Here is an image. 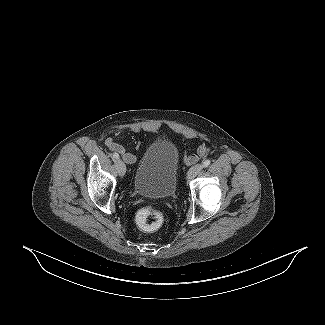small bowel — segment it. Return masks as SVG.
I'll use <instances>...</instances> for the list:
<instances>
[{
	"mask_svg": "<svg viewBox=\"0 0 325 325\" xmlns=\"http://www.w3.org/2000/svg\"><path fill=\"white\" fill-rule=\"evenodd\" d=\"M105 145L111 151H115V153H119L123 160L128 164H134L136 162V156L132 153L126 152L123 146L116 142L112 138H107L105 140ZM207 153V147L202 146L198 149L197 154L194 155H184V158L188 164H192L198 160L199 157L205 155Z\"/></svg>",
	"mask_w": 325,
	"mask_h": 325,
	"instance_id": "1",
	"label": "small bowel"
}]
</instances>
